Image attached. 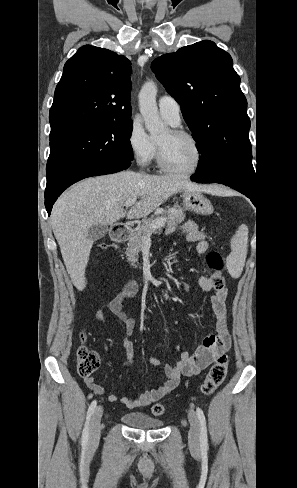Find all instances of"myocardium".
Masks as SVG:
<instances>
[{
	"label": "myocardium",
	"instance_id": "f54148a6",
	"mask_svg": "<svg viewBox=\"0 0 297 488\" xmlns=\"http://www.w3.org/2000/svg\"><path fill=\"white\" fill-rule=\"evenodd\" d=\"M170 132L175 137H184V138L189 139L193 143V145L196 149V153H197L196 161H195V164L193 165V167L189 170L180 171V170L173 169L172 167H170L168 165V163L165 159L163 147L161 146V144L157 143V145H156V147H157L156 158H157V163H158L159 167L165 173L175 175V176H180V177H188V176L195 174L200 169V167L203 163V150H202V146L200 145V142L192 133H190L186 130L172 129V130H170Z\"/></svg>",
	"mask_w": 297,
	"mask_h": 488
}]
</instances>
